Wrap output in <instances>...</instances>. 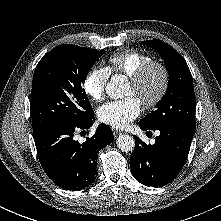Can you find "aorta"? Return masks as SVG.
Listing matches in <instances>:
<instances>
[{"mask_svg":"<svg viewBox=\"0 0 221 221\" xmlns=\"http://www.w3.org/2000/svg\"><path fill=\"white\" fill-rule=\"evenodd\" d=\"M125 86V77L123 75H115L107 84L106 92L112 99L121 98L124 95ZM116 144L121 151L129 152L134 149L135 140L132 136L124 134L117 138Z\"/></svg>","mask_w":221,"mask_h":221,"instance_id":"1","label":"aorta"}]
</instances>
